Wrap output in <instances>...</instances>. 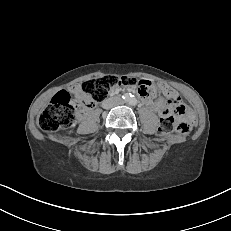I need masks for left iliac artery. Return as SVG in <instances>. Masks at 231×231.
<instances>
[{
    "label": "left iliac artery",
    "instance_id": "44dca946",
    "mask_svg": "<svg viewBox=\"0 0 231 231\" xmlns=\"http://www.w3.org/2000/svg\"><path fill=\"white\" fill-rule=\"evenodd\" d=\"M129 103L132 105V106H136L137 105V99L132 97L129 101Z\"/></svg>",
    "mask_w": 231,
    "mask_h": 231
}]
</instances>
